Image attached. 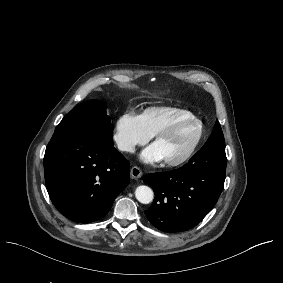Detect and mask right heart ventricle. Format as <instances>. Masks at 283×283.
Segmentation results:
<instances>
[{
	"label": "right heart ventricle",
	"mask_w": 283,
	"mask_h": 283,
	"mask_svg": "<svg viewBox=\"0 0 283 283\" xmlns=\"http://www.w3.org/2000/svg\"><path fill=\"white\" fill-rule=\"evenodd\" d=\"M189 115L192 113L181 108L151 107L144 111L142 119L151 135H156L178 118Z\"/></svg>",
	"instance_id": "obj_1"
}]
</instances>
